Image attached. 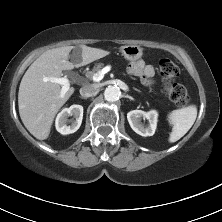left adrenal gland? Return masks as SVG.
<instances>
[{"label": "left adrenal gland", "instance_id": "left-adrenal-gland-1", "mask_svg": "<svg viewBox=\"0 0 222 222\" xmlns=\"http://www.w3.org/2000/svg\"><path fill=\"white\" fill-rule=\"evenodd\" d=\"M135 91L141 92L140 90H138L137 88H134Z\"/></svg>", "mask_w": 222, "mask_h": 222}]
</instances>
